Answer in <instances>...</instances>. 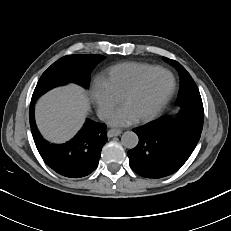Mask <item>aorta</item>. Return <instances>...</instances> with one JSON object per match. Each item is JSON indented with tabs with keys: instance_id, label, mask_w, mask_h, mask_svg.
<instances>
[{
	"instance_id": "obj_1",
	"label": "aorta",
	"mask_w": 231,
	"mask_h": 231,
	"mask_svg": "<svg viewBox=\"0 0 231 231\" xmlns=\"http://www.w3.org/2000/svg\"><path fill=\"white\" fill-rule=\"evenodd\" d=\"M139 141L138 135L133 131H126L121 137L122 145L126 148L133 149Z\"/></svg>"
}]
</instances>
